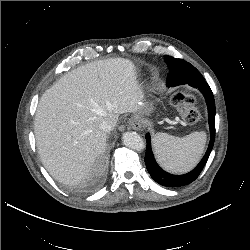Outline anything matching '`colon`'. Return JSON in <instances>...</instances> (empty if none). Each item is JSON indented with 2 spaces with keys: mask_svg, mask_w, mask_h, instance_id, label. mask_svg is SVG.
Masks as SVG:
<instances>
[{
  "mask_svg": "<svg viewBox=\"0 0 250 250\" xmlns=\"http://www.w3.org/2000/svg\"><path fill=\"white\" fill-rule=\"evenodd\" d=\"M172 104L179 110L186 121L194 123L200 118L198 105L192 96L176 93L172 97Z\"/></svg>",
  "mask_w": 250,
  "mask_h": 250,
  "instance_id": "1",
  "label": "colon"
}]
</instances>
